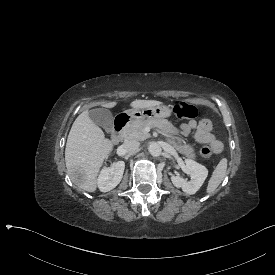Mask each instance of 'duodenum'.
Returning <instances> with one entry per match:
<instances>
[{"label": "duodenum", "mask_w": 275, "mask_h": 275, "mask_svg": "<svg viewBox=\"0 0 275 275\" xmlns=\"http://www.w3.org/2000/svg\"><path fill=\"white\" fill-rule=\"evenodd\" d=\"M131 116L129 114H120L114 120L113 132L111 135V139L113 143H118L122 137L125 128L130 123Z\"/></svg>", "instance_id": "duodenum-1"}]
</instances>
